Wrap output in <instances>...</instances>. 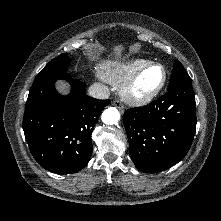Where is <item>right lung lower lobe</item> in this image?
<instances>
[{
	"instance_id": "right-lung-lower-lobe-1",
	"label": "right lung lower lobe",
	"mask_w": 221,
	"mask_h": 221,
	"mask_svg": "<svg viewBox=\"0 0 221 221\" xmlns=\"http://www.w3.org/2000/svg\"><path fill=\"white\" fill-rule=\"evenodd\" d=\"M65 79L71 92L62 96L54 83ZM110 100L86 95V85L57 74L30 89L23 118V130L35 160L46 170L71 174L84 168L92 155L91 135Z\"/></svg>"
}]
</instances>
